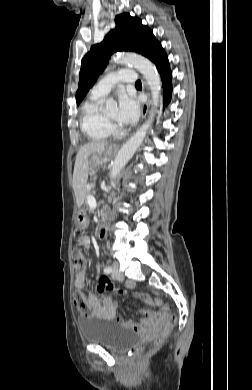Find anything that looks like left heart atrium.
I'll return each mask as SVG.
<instances>
[{"label":"left heart atrium","instance_id":"obj_1","mask_svg":"<svg viewBox=\"0 0 252 390\" xmlns=\"http://www.w3.org/2000/svg\"><path fill=\"white\" fill-rule=\"evenodd\" d=\"M138 115L139 104L137 100L133 96L120 93L118 96L117 121L129 125L137 120Z\"/></svg>","mask_w":252,"mask_h":390}]
</instances>
